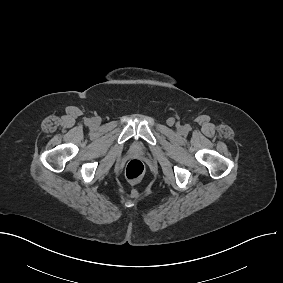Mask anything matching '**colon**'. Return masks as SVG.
Listing matches in <instances>:
<instances>
[{"instance_id":"5ec220e1","label":"colon","mask_w":283,"mask_h":283,"mask_svg":"<svg viewBox=\"0 0 283 283\" xmlns=\"http://www.w3.org/2000/svg\"><path fill=\"white\" fill-rule=\"evenodd\" d=\"M145 174V166L138 159L130 160L125 168V176L131 182H139Z\"/></svg>"}]
</instances>
